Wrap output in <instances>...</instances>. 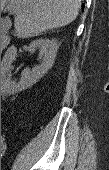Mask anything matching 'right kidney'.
Wrapping results in <instances>:
<instances>
[{
    "mask_svg": "<svg viewBox=\"0 0 109 170\" xmlns=\"http://www.w3.org/2000/svg\"><path fill=\"white\" fill-rule=\"evenodd\" d=\"M39 47V63L36 64L29 73L31 76L39 75L49 66L55 52V44L47 39H38L31 43V48ZM29 77V76H28Z\"/></svg>",
    "mask_w": 109,
    "mask_h": 170,
    "instance_id": "right-kidney-1",
    "label": "right kidney"
}]
</instances>
